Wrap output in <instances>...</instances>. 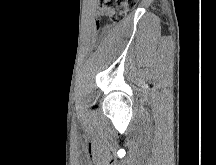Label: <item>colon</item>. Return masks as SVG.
Masks as SVG:
<instances>
[{"label": "colon", "instance_id": "colon-1", "mask_svg": "<svg viewBox=\"0 0 216 165\" xmlns=\"http://www.w3.org/2000/svg\"><path fill=\"white\" fill-rule=\"evenodd\" d=\"M99 16L112 22L121 21L138 0H100Z\"/></svg>", "mask_w": 216, "mask_h": 165}]
</instances>
